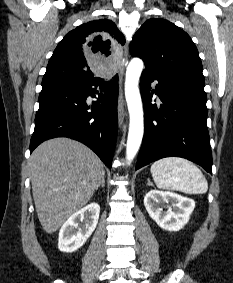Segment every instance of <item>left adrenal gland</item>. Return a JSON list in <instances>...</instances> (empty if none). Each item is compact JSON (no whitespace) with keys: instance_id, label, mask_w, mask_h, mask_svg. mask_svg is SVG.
<instances>
[{"instance_id":"a2214340","label":"left adrenal gland","mask_w":233,"mask_h":283,"mask_svg":"<svg viewBox=\"0 0 233 283\" xmlns=\"http://www.w3.org/2000/svg\"><path fill=\"white\" fill-rule=\"evenodd\" d=\"M147 185H152L149 179L147 180Z\"/></svg>"}]
</instances>
